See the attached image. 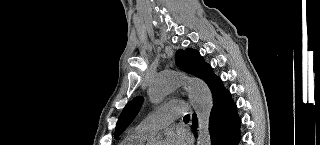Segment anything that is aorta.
I'll return each mask as SVG.
<instances>
[{"mask_svg": "<svg viewBox=\"0 0 320 145\" xmlns=\"http://www.w3.org/2000/svg\"><path fill=\"white\" fill-rule=\"evenodd\" d=\"M186 77L176 71H164L151 81L149 97L160 103L165 96L181 85ZM189 98L198 118V145H210L209 118L212 110V95L206 83L198 78H188Z\"/></svg>", "mask_w": 320, "mask_h": 145, "instance_id": "aorta-1", "label": "aorta"}]
</instances>
